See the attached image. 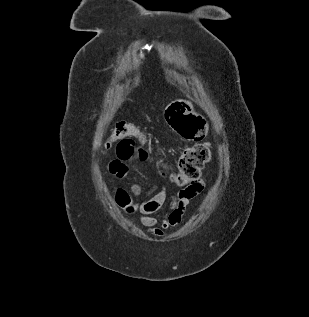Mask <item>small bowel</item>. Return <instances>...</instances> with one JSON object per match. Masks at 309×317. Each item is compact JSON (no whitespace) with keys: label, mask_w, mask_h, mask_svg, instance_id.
Returning <instances> with one entry per match:
<instances>
[{"label":"small bowel","mask_w":309,"mask_h":317,"mask_svg":"<svg viewBox=\"0 0 309 317\" xmlns=\"http://www.w3.org/2000/svg\"><path fill=\"white\" fill-rule=\"evenodd\" d=\"M131 152L130 142H126L124 147L117 150V157L108 164V171L112 176L117 179L128 178L129 161L132 159ZM147 157V154L138 156L141 161L147 160ZM157 174L161 179L166 178L163 170H159ZM205 187V181L199 178L187 188L172 194L169 211L161 220L156 216V213L163 207L168 198L166 187L163 184L142 202L133 198V195H138L140 192L139 187L135 184L130 185V190L123 187H114L113 198L115 203L126 213L138 214L137 222L145 227L148 234L154 237H163L167 230L180 224L186 208L203 192Z\"/></svg>","instance_id":"obj_1"}]
</instances>
